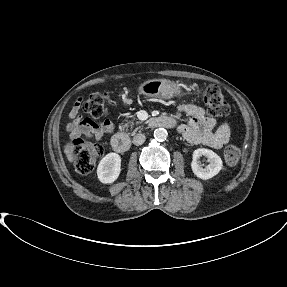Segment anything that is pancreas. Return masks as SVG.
<instances>
[{
  "mask_svg": "<svg viewBox=\"0 0 287 287\" xmlns=\"http://www.w3.org/2000/svg\"><path fill=\"white\" fill-rule=\"evenodd\" d=\"M133 123L132 122H127V123H125V124H123L122 126H121V129H124V128H128V127H133ZM141 127L139 126V127H137L135 130H134V132H136L138 129H140Z\"/></svg>",
  "mask_w": 287,
  "mask_h": 287,
  "instance_id": "pancreas-1",
  "label": "pancreas"
}]
</instances>
